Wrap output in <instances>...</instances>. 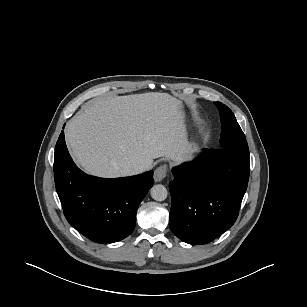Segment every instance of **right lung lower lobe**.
Segmentation results:
<instances>
[{
    "instance_id": "98d812e1",
    "label": "right lung lower lobe",
    "mask_w": 307,
    "mask_h": 307,
    "mask_svg": "<svg viewBox=\"0 0 307 307\" xmlns=\"http://www.w3.org/2000/svg\"><path fill=\"white\" fill-rule=\"evenodd\" d=\"M54 180L66 219L88 239L113 243L132 233L140 202L153 185V171L104 179L82 172L61 132L54 154Z\"/></svg>"
}]
</instances>
